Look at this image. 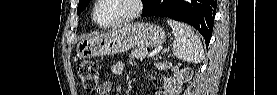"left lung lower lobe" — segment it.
I'll return each mask as SVG.
<instances>
[{
    "label": "left lung lower lobe",
    "mask_w": 277,
    "mask_h": 95,
    "mask_svg": "<svg viewBox=\"0 0 277 95\" xmlns=\"http://www.w3.org/2000/svg\"><path fill=\"white\" fill-rule=\"evenodd\" d=\"M216 9V0H151L142 16H166L188 23L202 34L208 46Z\"/></svg>",
    "instance_id": "obj_1"
}]
</instances>
